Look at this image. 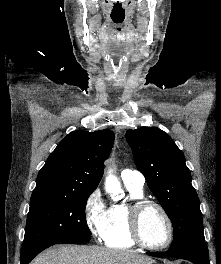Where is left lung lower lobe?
Listing matches in <instances>:
<instances>
[{"mask_svg":"<svg viewBox=\"0 0 221 264\" xmlns=\"http://www.w3.org/2000/svg\"><path fill=\"white\" fill-rule=\"evenodd\" d=\"M155 257L165 258L174 257L185 259L194 264H210L209 253L206 243H187L171 247L168 251L162 253H148Z\"/></svg>","mask_w":221,"mask_h":264,"instance_id":"0a47b994","label":"left lung lower lobe"}]
</instances>
